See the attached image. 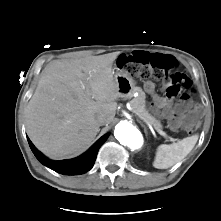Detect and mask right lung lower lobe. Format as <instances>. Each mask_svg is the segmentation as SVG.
<instances>
[{
  "instance_id": "98d812e1",
  "label": "right lung lower lobe",
  "mask_w": 221,
  "mask_h": 221,
  "mask_svg": "<svg viewBox=\"0 0 221 221\" xmlns=\"http://www.w3.org/2000/svg\"><path fill=\"white\" fill-rule=\"evenodd\" d=\"M109 134L102 136L94 145L83 155L70 159V160H60L53 161L46 158L41 152H39L36 147L32 144L30 139L27 137L29 146L36 156V158L45 166L56 171L57 173L64 175H78L89 171L96 160L97 153L101 145L106 141Z\"/></svg>"
}]
</instances>
